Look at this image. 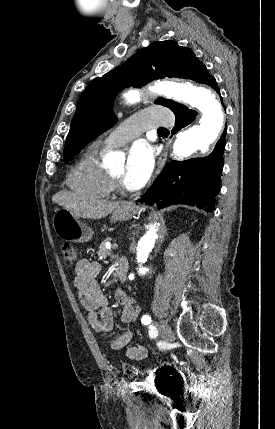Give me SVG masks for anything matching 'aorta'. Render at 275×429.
Wrapping results in <instances>:
<instances>
[{
  "label": "aorta",
  "instance_id": "762f6f07",
  "mask_svg": "<svg viewBox=\"0 0 275 429\" xmlns=\"http://www.w3.org/2000/svg\"><path fill=\"white\" fill-rule=\"evenodd\" d=\"M150 91L185 103L197 108L202 117L198 125H193L180 132L176 136L173 145V154L182 159L200 151L205 153L219 136L226 119V111L223 108L217 93L206 85H193L175 82H158ZM140 99V93L130 90L123 95L124 104H133ZM110 162L115 161L114 154H109ZM158 237L156 225H150L145 234L139 239L136 248V259L140 264L147 261L154 248ZM140 272L145 273L146 268L140 267Z\"/></svg>",
  "mask_w": 275,
  "mask_h": 429
}]
</instances>
